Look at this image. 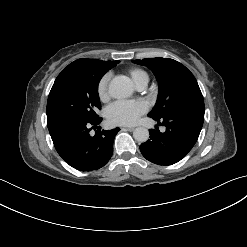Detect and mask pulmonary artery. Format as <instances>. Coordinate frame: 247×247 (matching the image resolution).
<instances>
[{
	"label": "pulmonary artery",
	"instance_id": "1",
	"mask_svg": "<svg viewBox=\"0 0 247 247\" xmlns=\"http://www.w3.org/2000/svg\"><path fill=\"white\" fill-rule=\"evenodd\" d=\"M138 90H143L146 87V84H140L136 86Z\"/></svg>",
	"mask_w": 247,
	"mask_h": 247
}]
</instances>
